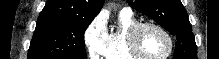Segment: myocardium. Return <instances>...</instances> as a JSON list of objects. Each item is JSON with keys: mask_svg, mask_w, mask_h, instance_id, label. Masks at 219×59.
Listing matches in <instances>:
<instances>
[{"mask_svg": "<svg viewBox=\"0 0 219 59\" xmlns=\"http://www.w3.org/2000/svg\"><path fill=\"white\" fill-rule=\"evenodd\" d=\"M147 27H152L160 31L168 40L169 48L167 53L164 56L161 57H149L146 56L140 49L139 46V36L143 29ZM127 46L129 52L135 56L137 59H168L173 52L174 49V40L171 36V34L168 32L166 28H164L162 25L152 22V21H143V22H137L134 26L131 27V29L128 32L127 35Z\"/></svg>", "mask_w": 219, "mask_h": 59, "instance_id": "1", "label": "myocardium"}]
</instances>
